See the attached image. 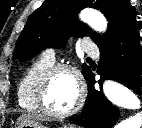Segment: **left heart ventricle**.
<instances>
[{
	"label": "left heart ventricle",
	"instance_id": "b2bd125f",
	"mask_svg": "<svg viewBox=\"0 0 142 128\" xmlns=\"http://www.w3.org/2000/svg\"><path fill=\"white\" fill-rule=\"evenodd\" d=\"M77 98V85L74 77L66 71L57 73L51 80L46 103L54 111H66L73 106Z\"/></svg>",
	"mask_w": 142,
	"mask_h": 128
}]
</instances>
